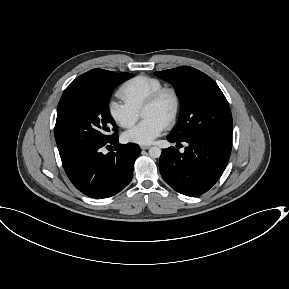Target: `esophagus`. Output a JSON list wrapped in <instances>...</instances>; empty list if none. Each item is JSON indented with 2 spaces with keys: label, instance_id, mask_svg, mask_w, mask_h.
Returning a JSON list of instances; mask_svg holds the SVG:
<instances>
[{
  "label": "esophagus",
  "instance_id": "1",
  "mask_svg": "<svg viewBox=\"0 0 289 289\" xmlns=\"http://www.w3.org/2000/svg\"><path fill=\"white\" fill-rule=\"evenodd\" d=\"M149 148H150L149 145H142V146H141V149H142V150H147V149H149Z\"/></svg>",
  "mask_w": 289,
  "mask_h": 289
}]
</instances>
